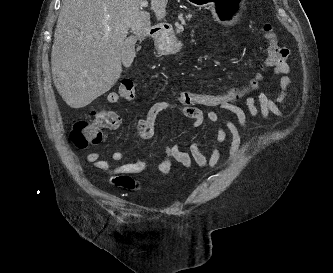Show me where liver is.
<instances>
[{"label": "liver", "instance_id": "6515ba94", "mask_svg": "<svg viewBox=\"0 0 333 273\" xmlns=\"http://www.w3.org/2000/svg\"><path fill=\"white\" fill-rule=\"evenodd\" d=\"M144 0H64L51 52L54 85L71 108H83L109 91L122 73L121 51L130 30L142 41L150 29ZM168 0H151L156 19Z\"/></svg>", "mask_w": 333, "mask_h": 273}]
</instances>
